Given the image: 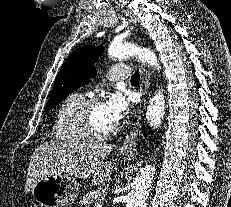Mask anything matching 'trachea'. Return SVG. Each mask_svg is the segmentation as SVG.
Instances as JSON below:
<instances>
[{
	"mask_svg": "<svg viewBox=\"0 0 231 207\" xmlns=\"http://www.w3.org/2000/svg\"><path fill=\"white\" fill-rule=\"evenodd\" d=\"M140 74L139 71H136L131 77V83H139Z\"/></svg>",
	"mask_w": 231,
	"mask_h": 207,
	"instance_id": "obj_1",
	"label": "trachea"
}]
</instances>
